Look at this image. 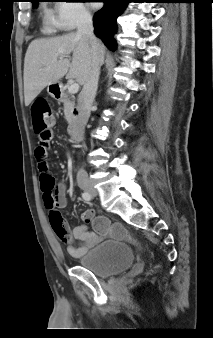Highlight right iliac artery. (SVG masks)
<instances>
[{
  "instance_id": "1",
  "label": "right iliac artery",
  "mask_w": 213,
  "mask_h": 338,
  "mask_svg": "<svg viewBox=\"0 0 213 338\" xmlns=\"http://www.w3.org/2000/svg\"><path fill=\"white\" fill-rule=\"evenodd\" d=\"M82 198L85 200V201H90L92 199V196L91 194H89L88 192H84L82 193Z\"/></svg>"
}]
</instances>
